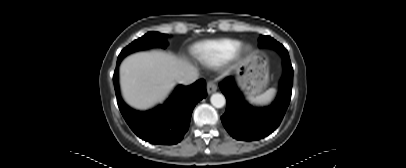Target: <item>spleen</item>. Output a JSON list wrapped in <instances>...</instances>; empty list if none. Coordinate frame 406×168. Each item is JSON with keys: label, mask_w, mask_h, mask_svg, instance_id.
<instances>
[{"label": "spleen", "mask_w": 406, "mask_h": 168, "mask_svg": "<svg viewBox=\"0 0 406 168\" xmlns=\"http://www.w3.org/2000/svg\"><path fill=\"white\" fill-rule=\"evenodd\" d=\"M275 95V89L270 88L266 90L263 94L258 95L256 97L249 96L247 100L254 105H266L272 101Z\"/></svg>", "instance_id": "spleen-1"}]
</instances>
